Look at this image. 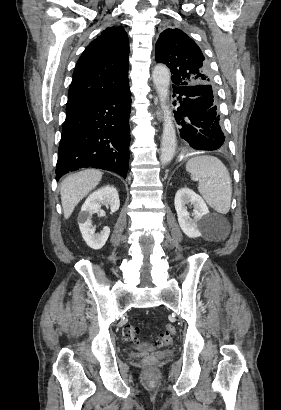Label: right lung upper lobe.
Listing matches in <instances>:
<instances>
[{"label": "right lung upper lobe", "instance_id": "right-lung-upper-lobe-1", "mask_svg": "<svg viewBox=\"0 0 281 410\" xmlns=\"http://www.w3.org/2000/svg\"><path fill=\"white\" fill-rule=\"evenodd\" d=\"M129 41L122 27H109L80 56L69 88L66 112L120 91L128 82Z\"/></svg>", "mask_w": 281, "mask_h": 410}]
</instances>
